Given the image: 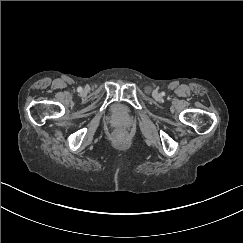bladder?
I'll return each instance as SVG.
<instances>
[{"label":"bladder","instance_id":"1","mask_svg":"<svg viewBox=\"0 0 243 243\" xmlns=\"http://www.w3.org/2000/svg\"><path fill=\"white\" fill-rule=\"evenodd\" d=\"M113 112L118 114V115H125L126 114V110L123 109L120 105H115L113 107Z\"/></svg>","mask_w":243,"mask_h":243}]
</instances>
